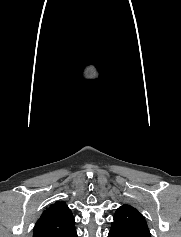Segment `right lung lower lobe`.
<instances>
[{
  "instance_id": "98d812e1",
  "label": "right lung lower lobe",
  "mask_w": 181,
  "mask_h": 237,
  "mask_svg": "<svg viewBox=\"0 0 181 237\" xmlns=\"http://www.w3.org/2000/svg\"><path fill=\"white\" fill-rule=\"evenodd\" d=\"M72 237H77V233L75 232V233L72 235Z\"/></svg>"
}]
</instances>
